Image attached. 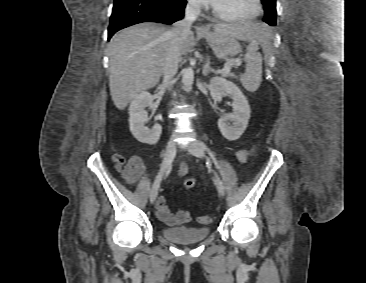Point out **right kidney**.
<instances>
[{"mask_svg": "<svg viewBox=\"0 0 366 283\" xmlns=\"http://www.w3.org/2000/svg\"><path fill=\"white\" fill-rule=\"evenodd\" d=\"M146 107H154V102L152 95L143 91L134 97L129 106L130 131L139 142L154 145L160 139L162 127L159 124H155L151 130L145 127L149 120Z\"/></svg>", "mask_w": 366, "mask_h": 283, "instance_id": "ca27d5eb", "label": "right kidney"}]
</instances>
